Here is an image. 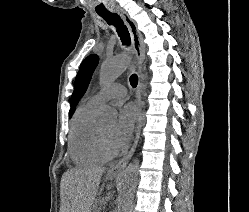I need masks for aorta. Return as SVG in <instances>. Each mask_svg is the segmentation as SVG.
Wrapping results in <instances>:
<instances>
[{"mask_svg": "<svg viewBox=\"0 0 249 212\" xmlns=\"http://www.w3.org/2000/svg\"><path fill=\"white\" fill-rule=\"evenodd\" d=\"M130 63V56L124 54L105 60L100 68L101 85L105 86L115 81L127 69ZM116 115V110L108 105H105L101 110V116L105 119L115 118ZM138 173L139 161L134 160L123 173L116 212H131Z\"/></svg>", "mask_w": 249, "mask_h": 212, "instance_id": "762f6f07", "label": "aorta"}]
</instances>
